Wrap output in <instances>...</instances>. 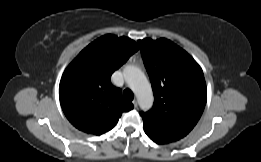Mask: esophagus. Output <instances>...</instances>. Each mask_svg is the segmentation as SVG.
Segmentation results:
<instances>
[{
  "label": "esophagus",
  "instance_id": "esophagus-1",
  "mask_svg": "<svg viewBox=\"0 0 261 162\" xmlns=\"http://www.w3.org/2000/svg\"><path fill=\"white\" fill-rule=\"evenodd\" d=\"M132 103H133V105H134V108H138V102H137V100H133Z\"/></svg>",
  "mask_w": 261,
  "mask_h": 162
}]
</instances>
